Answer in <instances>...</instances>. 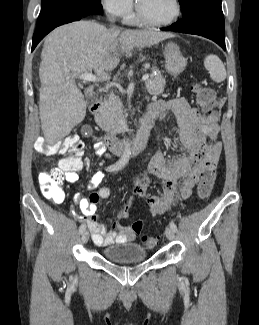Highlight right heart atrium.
Returning <instances> with one entry per match:
<instances>
[{
	"label": "right heart atrium",
	"mask_w": 259,
	"mask_h": 325,
	"mask_svg": "<svg viewBox=\"0 0 259 325\" xmlns=\"http://www.w3.org/2000/svg\"><path fill=\"white\" fill-rule=\"evenodd\" d=\"M101 5L114 16H127L132 12L133 0H101Z\"/></svg>",
	"instance_id": "obj_1"
}]
</instances>
